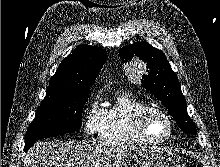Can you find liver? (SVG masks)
I'll use <instances>...</instances> for the list:
<instances>
[{
    "mask_svg": "<svg viewBox=\"0 0 220 167\" xmlns=\"http://www.w3.org/2000/svg\"><path fill=\"white\" fill-rule=\"evenodd\" d=\"M129 148L78 142H37L27 153L24 167H113Z\"/></svg>",
    "mask_w": 220,
    "mask_h": 167,
    "instance_id": "1",
    "label": "liver"
}]
</instances>
